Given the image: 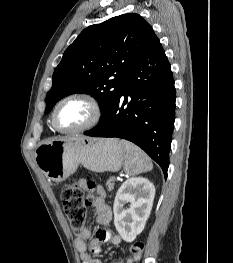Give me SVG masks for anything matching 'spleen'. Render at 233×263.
<instances>
[{"label":"spleen","mask_w":233,"mask_h":263,"mask_svg":"<svg viewBox=\"0 0 233 263\" xmlns=\"http://www.w3.org/2000/svg\"><path fill=\"white\" fill-rule=\"evenodd\" d=\"M125 149L124 171L130 176L152 170L150 158L139 147L131 142L121 141Z\"/></svg>","instance_id":"obj_1"}]
</instances>
